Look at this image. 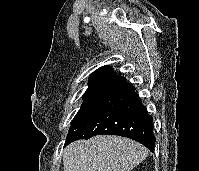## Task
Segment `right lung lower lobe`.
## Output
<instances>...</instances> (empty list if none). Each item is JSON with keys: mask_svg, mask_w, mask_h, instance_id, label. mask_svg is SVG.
Wrapping results in <instances>:
<instances>
[{"mask_svg": "<svg viewBox=\"0 0 199 171\" xmlns=\"http://www.w3.org/2000/svg\"><path fill=\"white\" fill-rule=\"evenodd\" d=\"M153 118L147 113L135 87L116 76L80 111L71 125L65 145L96 135L131 138L154 151Z\"/></svg>", "mask_w": 199, "mask_h": 171, "instance_id": "obj_1", "label": "right lung lower lobe"}]
</instances>
